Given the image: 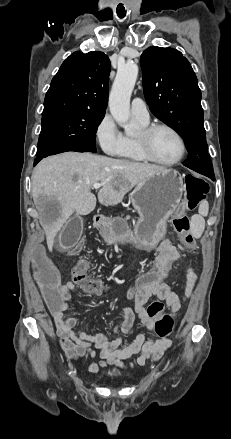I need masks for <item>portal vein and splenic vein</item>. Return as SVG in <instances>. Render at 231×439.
Returning <instances> with one entry per match:
<instances>
[{
	"instance_id": "obj_1",
	"label": "portal vein and splenic vein",
	"mask_w": 231,
	"mask_h": 439,
	"mask_svg": "<svg viewBox=\"0 0 231 439\" xmlns=\"http://www.w3.org/2000/svg\"><path fill=\"white\" fill-rule=\"evenodd\" d=\"M101 186H102L101 183H94L92 187H93L94 189H99Z\"/></svg>"
}]
</instances>
